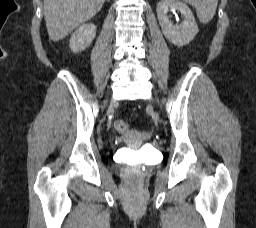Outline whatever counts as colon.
Segmentation results:
<instances>
[{
	"mask_svg": "<svg viewBox=\"0 0 256 228\" xmlns=\"http://www.w3.org/2000/svg\"><path fill=\"white\" fill-rule=\"evenodd\" d=\"M114 128L119 133H125L128 130V124L125 121L119 119L114 122Z\"/></svg>",
	"mask_w": 256,
	"mask_h": 228,
	"instance_id": "1",
	"label": "colon"
}]
</instances>
